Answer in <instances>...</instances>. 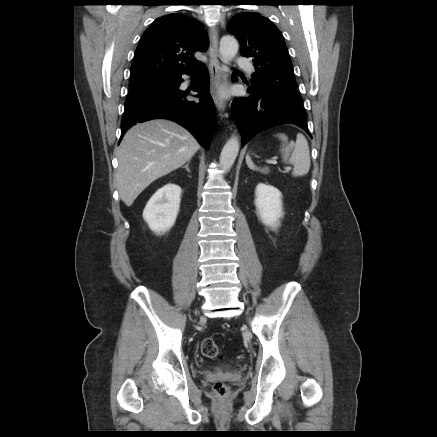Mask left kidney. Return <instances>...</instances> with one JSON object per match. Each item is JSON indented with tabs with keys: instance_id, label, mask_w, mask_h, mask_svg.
Returning a JSON list of instances; mask_svg holds the SVG:
<instances>
[{
	"instance_id": "1",
	"label": "left kidney",
	"mask_w": 437,
	"mask_h": 437,
	"mask_svg": "<svg viewBox=\"0 0 437 437\" xmlns=\"http://www.w3.org/2000/svg\"><path fill=\"white\" fill-rule=\"evenodd\" d=\"M255 196V206L261 222L265 226L277 228L283 217L282 193L274 186L259 183Z\"/></svg>"
}]
</instances>
